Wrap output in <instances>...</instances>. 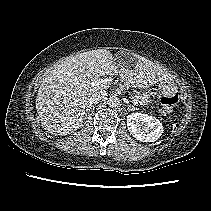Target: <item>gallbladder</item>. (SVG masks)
<instances>
[{
	"instance_id": "1",
	"label": "gallbladder",
	"mask_w": 211,
	"mask_h": 211,
	"mask_svg": "<svg viewBox=\"0 0 211 211\" xmlns=\"http://www.w3.org/2000/svg\"><path fill=\"white\" fill-rule=\"evenodd\" d=\"M127 55H129L127 52H120V53L117 55V58H118V57H126Z\"/></svg>"
}]
</instances>
